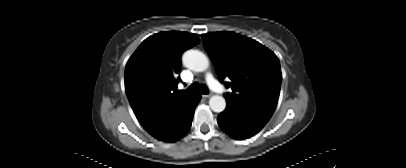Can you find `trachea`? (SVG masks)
Returning <instances> with one entry per match:
<instances>
[{
  "instance_id": "3493384b",
  "label": "trachea",
  "mask_w": 406,
  "mask_h": 168,
  "mask_svg": "<svg viewBox=\"0 0 406 168\" xmlns=\"http://www.w3.org/2000/svg\"><path fill=\"white\" fill-rule=\"evenodd\" d=\"M189 92L192 93H196V92H201L202 94H208L209 93V89L207 88L206 85H199V83L195 82L193 83L189 88H188Z\"/></svg>"
}]
</instances>
